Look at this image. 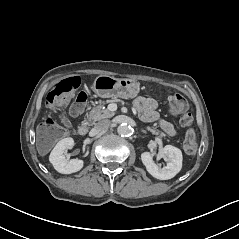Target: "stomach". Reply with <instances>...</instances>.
<instances>
[{
	"instance_id": "obj_1",
	"label": "stomach",
	"mask_w": 239,
	"mask_h": 239,
	"mask_svg": "<svg viewBox=\"0 0 239 239\" xmlns=\"http://www.w3.org/2000/svg\"><path fill=\"white\" fill-rule=\"evenodd\" d=\"M91 90L101 98L133 99L140 92V83L131 78L99 75L94 79Z\"/></svg>"
}]
</instances>
